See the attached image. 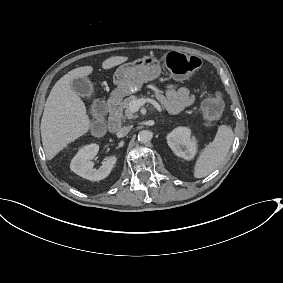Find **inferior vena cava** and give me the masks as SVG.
<instances>
[{"label": "inferior vena cava", "mask_w": 283, "mask_h": 283, "mask_svg": "<svg viewBox=\"0 0 283 283\" xmlns=\"http://www.w3.org/2000/svg\"><path fill=\"white\" fill-rule=\"evenodd\" d=\"M130 130V127H122L119 129V131L116 132V135L118 137H123V136H126L128 134Z\"/></svg>", "instance_id": "602c4592"}]
</instances>
